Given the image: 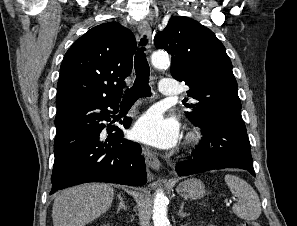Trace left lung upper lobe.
<instances>
[{"label":"left lung upper lobe","instance_id":"1","mask_svg":"<svg viewBox=\"0 0 297 226\" xmlns=\"http://www.w3.org/2000/svg\"><path fill=\"white\" fill-rule=\"evenodd\" d=\"M155 46L172 55V76L184 81L188 95L198 100L187 105L193 124L214 118L243 121L232 63L210 29L188 17H173L156 35Z\"/></svg>","mask_w":297,"mask_h":226}]
</instances>
